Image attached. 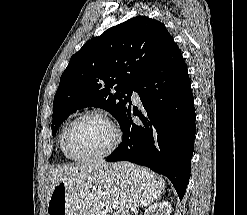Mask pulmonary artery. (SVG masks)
Instances as JSON below:
<instances>
[{
	"mask_svg": "<svg viewBox=\"0 0 247 215\" xmlns=\"http://www.w3.org/2000/svg\"><path fill=\"white\" fill-rule=\"evenodd\" d=\"M132 99L135 103H139L140 102V98H139V95L136 91H133L132 93Z\"/></svg>",
	"mask_w": 247,
	"mask_h": 215,
	"instance_id": "1",
	"label": "pulmonary artery"
}]
</instances>
